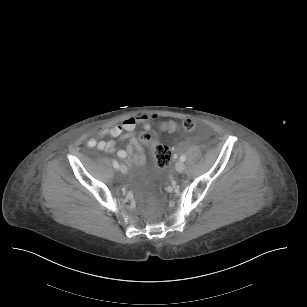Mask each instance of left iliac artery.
I'll list each match as a JSON object with an SVG mask.
<instances>
[{"label": "left iliac artery", "instance_id": "1", "mask_svg": "<svg viewBox=\"0 0 307 307\" xmlns=\"http://www.w3.org/2000/svg\"><path fill=\"white\" fill-rule=\"evenodd\" d=\"M180 160L184 162L186 160V156L185 155H181L180 156Z\"/></svg>", "mask_w": 307, "mask_h": 307}]
</instances>
